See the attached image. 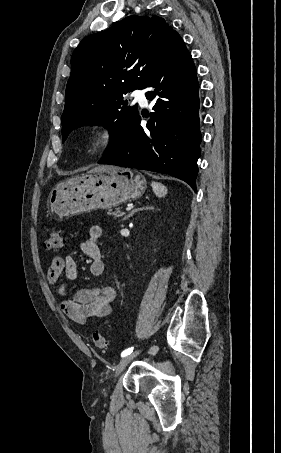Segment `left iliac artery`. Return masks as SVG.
Here are the masks:
<instances>
[{
  "label": "left iliac artery",
  "mask_w": 281,
  "mask_h": 453,
  "mask_svg": "<svg viewBox=\"0 0 281 453\" xmlns=\"http://www.w3.org/2000/svg\"><path fill=\"white\" fill-rule=\"evenodd\" d=\"M132 352H133V347L128 348V349L124 350V351L121 353V357H125V356H127V355H130Z\"/></svg>",
  "instance_id": "44dca946"
}]
</instances>
